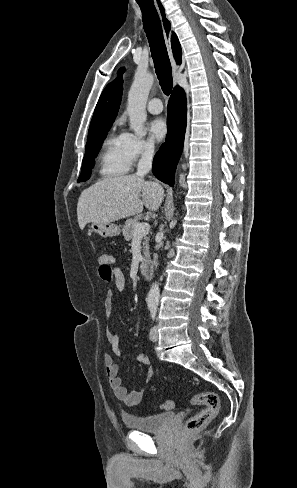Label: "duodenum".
<instances>
[{
  "label": "duodenum",
  "instance_id": "1",
  "mask_svg": "<svg viewBox=\"0 0 297 488\" xmlns=\"http://www.w3.org/2000/svg\"><path fill=\"white\" fill-rule=\"evenodd\" d=\"M140 272L145 278H151L153 274L152 263L150 261H145L144 263H142L140 266Z\"/></svg>",
  "mask_w": 297,
  "mask_h": 488
}]
</instances>
